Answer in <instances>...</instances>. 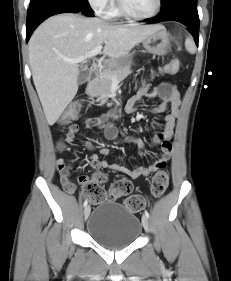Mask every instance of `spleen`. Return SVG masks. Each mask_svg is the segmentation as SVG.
I'll use <instances>...</instances> for the list:
<instances>
[{
	"mask_svg": "<svg viewBox=\"0 0 231 281\" xmlns=\"http://www.w3.org/2000/svg\"><path fill=\"white\" fill-rule=\"evenodd\" d=\"M185 48L191 54L196 52V46L192 38L189 37L185 40Z\"/></svg>",
	"mask_w": 231,
	"mask_h": 281,
	"instance_id": "1",
	"label": "spleen"
}]
</instances>
